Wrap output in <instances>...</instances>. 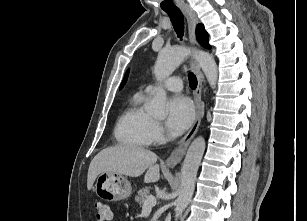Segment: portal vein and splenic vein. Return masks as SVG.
Returning <instances> with one entry per match:
<instances>
[{
	"mask_svg": "<svg viewBox=\"0 0 307 221\" xmlns=\"http://www.w3.org/2000/svg\"><path fill=\"white\" fill-rule=\"evenodd\" d=\"M156 203H157V200H156L155 196L150 195L145 199V201L143 203V208L153 207V206L156 205Z\"/></svg>",
	"mask_w": 307,
	"mask_h": 221,
	"instance_id": "18ae733b",
	"label": "portal vein and splenic vein"
}]
</instances>
